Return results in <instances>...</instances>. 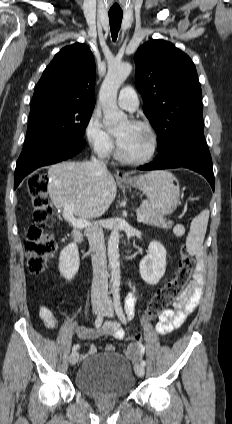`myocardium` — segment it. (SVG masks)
Instances as JSON below:
<instances>
[{
	"label": "myocardium",
	"mask_w": 232,
	"mask_h": 424,
	"mask_svg": "<svg viewBox=\"0 0 232 424\" xmlns=\"http://www.w3.org/2000/svg\"><path fill=\"white\" fill-rule=\"evenodd\" d=\"M131 123L145 129L148 132V134L150 135V138H151L150 151L142 157H130V156H127L123 152L122 147H121L120 143L118 142V149H117L118 157L122 162L127 163V164H134V165L145 164V163L151 161L157 153V150H158L157 133L154 130V128L149 123H147L145 121L134 120Z\"/></svg>",
	"instance_id": "myocardium-1"
}]
</instances>
